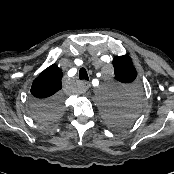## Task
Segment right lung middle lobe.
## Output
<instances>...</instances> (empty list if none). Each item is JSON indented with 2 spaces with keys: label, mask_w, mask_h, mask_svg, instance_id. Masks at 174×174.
Wrapping results in <instances>:
<instances>
[{
  "label": "right lung middle lobe",
  "mask_w": 174,
  "mask_h": 174,
  "mask_svg": "<svg viewBox=\"0 0 174 174\" xmlns=\"http://www.w3.org/2000/svg\"><path fill=\"white\" fill-rule=\"evenodd\" d=\"M63 110V99L60 95L47 100H37L31 104L32 117L41 123H51L57 120Z\"/></svg>",
  "instance_id": "right-lung-middle-lobe-1"
}]
</instances>
